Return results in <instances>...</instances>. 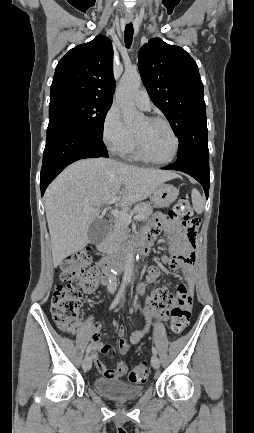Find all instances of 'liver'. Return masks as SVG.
<instances>
[{
  "label": "liver",
  "mask_w": 254,
  "mask_h": 433,
  "mask_svg": "<svg viewBox=\"0 0 254 433\" xmlns=\"http://www.w3.org/2000/svg\"><path fill=\"white\" fill-rule=\"evenodd\" d=\"M176 177L170 171L105 158L83 159L68 166L45 193L54 267L88 244L90 224L113 197H119V207H127L148 198L157 186Z\"/></svg>",
  "instance_id": "1"
}]
</instances>
